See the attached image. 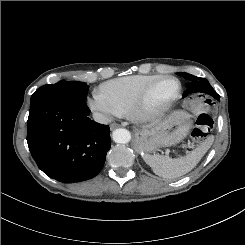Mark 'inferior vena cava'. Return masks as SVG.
I'll list each match as a JSON object with an SVG mask.
<instances>
[{"instance_id":"obj_1","label":"inferior vena cava","mask_w":245,"mask_h":245,"mask_svg":"<svg viewBox=\"0 0 245 245\" xmlns=\"http://www.w3.org/2000/svg\"><path fill=\"white\" fill-rule=\"evenodd\" d=\"M93 119L101 124H108L110 122V118L101 113H93Z\"/></svg>"}]
</instances>
